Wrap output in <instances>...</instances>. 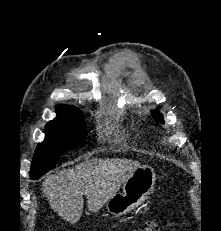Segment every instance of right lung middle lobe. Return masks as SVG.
<instances>
[{
    "label": "right lung middle lobe",
    "mask_w": 221,
    "mask_h": 231,
    "mask_svg": "<svg viewBox=\"0 0 221 231\" xmlns=\"http://www.w3.org/2000/svg\"><path fill=\"white\" fill-rule=\"evenodd\" d=\"M87 136L81 116H57L45 128V140L37 146L31 172L42 174L54 168L61 153L80 145Z\"/></svg>",
    "instance_id": "right-lung-middle-lobe-1"
}]
</instances>
